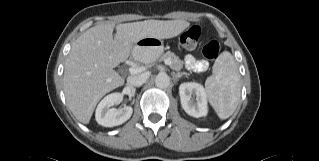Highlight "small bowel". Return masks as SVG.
<instances>
[{
  "label": "small bowel",
  "mask_w": 319,
  "mask_h": 161,
  "mask_svg": "<svg viewBox=\"0 0 319 161\" xmlns=\"http://www.w3.org/2000/svg\"><path fill=\"white\" fill-rule=\"evenodd\" d=\"M184 64L194 70H202L206 67L205 61L197 59L190 54L184 57Z\"/></svg>",
  "instance_id": "obj_1"
}]
</instances>
